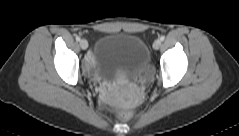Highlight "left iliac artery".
<instances>
[{
	"mask_svg": "<svg viewBox=\"0 0 239 136\" xmlns=\"http://www.w3.org/2000/svg\"><path fill=\"white\" fill-rule=\"evenodd\" d=\"M160 40H161V41H164V40H165V37H164V36H161V37H160Z\"/></svg>",
	"mask_w": 239,
	"mask_h": 136,
	"instance_id": "1",
	"label": "left iliac artery"
}]
</instances>
